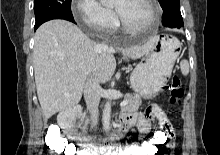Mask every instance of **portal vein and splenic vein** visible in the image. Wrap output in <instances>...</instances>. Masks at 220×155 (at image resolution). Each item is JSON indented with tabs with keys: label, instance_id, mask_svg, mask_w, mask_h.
I'll return each mask as SVG.
<instances>
[{
	"label": "portal vein and splenic vein",
	"instance_id": "portal-vein-and-splenic-vein-1",
	"mask_svg": "<svg viewBox=\"0 0 220 155\" xmlns=\"http://www.w3.org/2000/svg\"><path fill=\"white\" fill-rule=\"evenodd\" d=\"M65 96H70L69 94H65ZM128 104V101L127 100H124V101H122L121 103H120V106L121 107H124V106H126Z\"/></svg>",
	"mask_w": 220,
	"mask_h": 155
}]
</instances>
